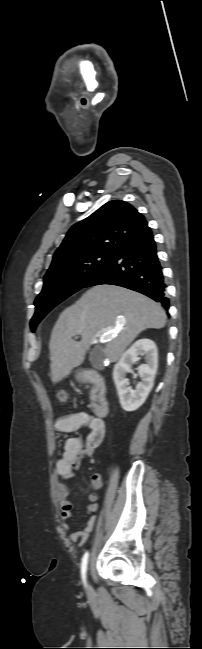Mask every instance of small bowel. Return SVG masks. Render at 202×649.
I'll return each mask as SVG.
<instances>
[{"mask_svg": "<svg viewBox=\"0 0 202 649\" xmlns=\"http://www.w3.org/2000/svg\"><path fill=\"white\" fill-rule=\"evenodd\" d=\"M55 429L60 432L70 433L81 428H87L88 434L85 438H69L64 446V452L58 459L56 471L58 474L57 495L60 500L61 519L63 529L68 531L70 526L67 521L72 518V503L68 500L69 488L65 481L72 478L76 472L79 462L85 457H91L96 448L102 443L105 437L106 428L102 419L88 412H77L61 416L55 421ZM92 493L88 496L89 503L86 507L88 515L87 526L78 529L69 535L71 542L79 541L83 545L93 528L95 513L99 510L97 491L102 487V476L94 473L91 477Z\"/></svg>", "mask_w": 202, "mask_h": 649, "instance_id": "c3829d8e", "label": "small bowel"}]
</instances>
